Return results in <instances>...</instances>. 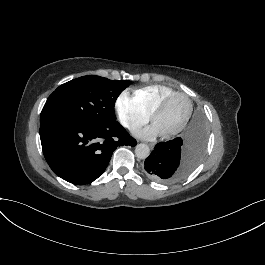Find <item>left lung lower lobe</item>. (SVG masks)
<instances>
[{"label": "left lung lower lobe", "instance_id": "obj_1", "mask_svg": "<svg viewBox=\"0 0 265 265\" xmlns=\"http://www.w3.org/2000/svg\"><path fill=\"white\" fill-rule=\"evenodd\" d=\"M207 128L196 112L182 136L158 143L145 160L148 177L160 183H172L188 175L200 162L206 146Z\"/></svg>", "mask_w": 265, "mask_h": 265}]
</instances>
